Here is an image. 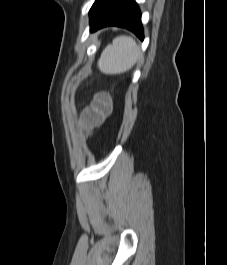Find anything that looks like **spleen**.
<instances>
[{"instance_id": "obj_1", "label": "spleen", "mask_w": 227, "mask_h": 265, "mask_svg": "<svg viewBox=\"0 0 227 265\" xmlns=\"http://www.w3.org/2000/svg\"><path fill=\"white\" fill-rule=\"evenodd\" d=\"M141 56L136 42L128 36H118L101 53L98 67L105 74H120L130 70Z\"/></svg>"}]
</instances>
